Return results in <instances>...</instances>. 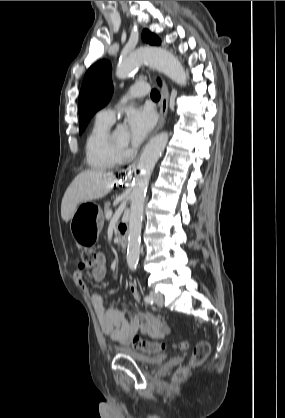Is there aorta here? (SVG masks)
I'll return each mask as SVG.
<instances>
[{
    "label": "aorta",
    "instance_id": "obj_1",
    "mask_svg": "<svg viewBox=\"0 0 285 418\" xmlns=\"http://www.w3.org/2000/svg\"><path fill=\"white\" fill-rule=\"evenodd\" d=\"M142 63L164 73L178 85H186L187 75L180 61L169 51L156 47L138 49L124 57L117 66L116 76L125 79ZM168 139V133L163 132L147 143L137 165L138 173L133 179L127 245V265L131 270L136 269L140 255L142 217L149 180Z\"/></svg>",
    "mask_w": 285,
    "mask_h": 418
}]
</instances>
